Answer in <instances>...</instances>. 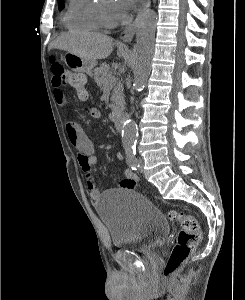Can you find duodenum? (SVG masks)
<instances>
[{
    "mask_svg": "<svg viewBox=\"0 0 245 300\" xmlns=\"http://www.w3.org/2000/svg\"><path fill=\"white\" fill-rule=\"evenodd\" d=\"M125 118L122 115L114 116V124L117 130L121 131L124 128Z\"/></svg>",
    "mask_w": 245,
    "mask_h": 300,
    "instance_id": "1",
    "label": "duodenum"
}]
</instances>
